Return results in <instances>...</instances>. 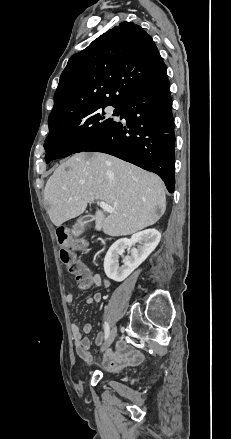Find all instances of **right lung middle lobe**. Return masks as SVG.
Here are the masks:
<instances>
[{"mask_svg": "<svg viewBox=\"0 0 231 439\" xmlns=\"http://www.w3.org/2000/svg\"><path fill=\"white\" fill-rule=\"evenodd\" d=\"M104 107L87 108L49 120V135L44 144L46 162L82 152L110 131L117 122L105 115ZM119 113L120 109H115L113 115Z\"/></svg>", "mask_w": 231, "mask_h": 439, "instance_id": "obj_1", "label": "right lung middle lobe"}]
</instances>
